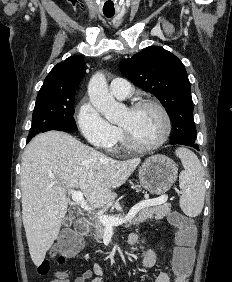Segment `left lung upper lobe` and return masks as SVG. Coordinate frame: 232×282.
Listing matches in <instances>:
<instances>
[{"instance_id": "left-lung-upper-lobe-1", "label": "left lung upper lobe", "mask_w": 232, "mask_h": 282, "mask_svg": "<svg viewBox=\"0 0 232 282\" xmlns=\"http://www.w3.org/2000/svg\"><path fill=\"white\" fill-rule=\"evenodd\" d=\"M121 73L136 86L156 96L172 121L173 135L196 141L190 82L184 65L161 47H147L119 64Z\"/></svg>"}]
</instances>
